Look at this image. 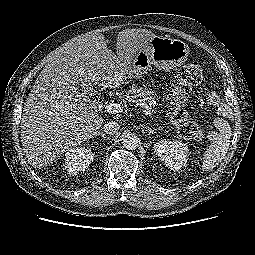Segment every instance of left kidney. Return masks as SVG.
Instances as JSON below:
<instances>
[{
	"mask_svg": "<svg viewBox=\"0 0 255 255\" xmlns=\"http://www.w3.org/2000/svg\"><path fill=\"white\" fill-rule=\"evenodd\" d=\"M154 150L171 170L178 171L186 166L189 150L188 146L182 141L162 140L155 143Z\"/></svg>",
	"mask_w": 255,
	"mask_h": 255,
	"instance_id": "obj_1",
	"label": "left kidney"
}]
</instances>
